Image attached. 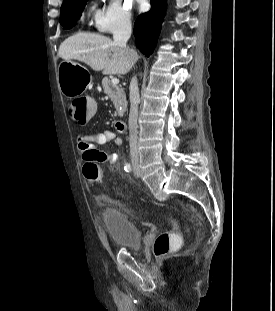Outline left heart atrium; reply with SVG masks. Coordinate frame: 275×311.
Segmentation results:
<instances>
[{
	"label": "left heart atrium",
	"mask_w": 275,
	"mask_h": 311,
	"mask_svg": "<svg viewBox=\"0 0 275 311\" xmlns=\"http://www.w3.org/2000/svg\"><path fill=\"white\" fill-rule=\"evenodd\" d=\"M139 5L142 6L143 5V0H138Z\"/></svg>",
	"instance_id": "1"
}]
</instances>
